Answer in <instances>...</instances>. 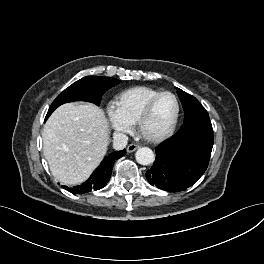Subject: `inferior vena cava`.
Returning a JSON list of instances; mask_svg holds the SVG:
<instances>
[{
  "label": "inferior vena cava",
  "instance_id": "obj_1",
  "mask_svg": "<svg viewBox=\"0 0 264 264\" xmlns=\"http://www.w3.org/2000/svg\"><path fill=\"white\" fill-rule=\"evenodd\" d=\"M128 142V136L120 133V132H115L113 134V148L116 150H122L126 147Z\"/></svg>",
  "mask_w": 264,
  "mask_h": 264
}]
</instances>
